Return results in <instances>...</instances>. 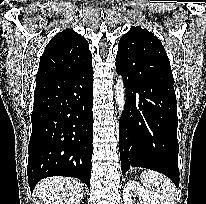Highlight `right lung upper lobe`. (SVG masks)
I'll list each match as a JSON object with an SVG mask.
<instances>
[{"label": "right lung upper lobe", "mask_w": 206, "mask_h": 204, "mask_svg": "<svg viewBox=\"0 0 206 204\" xmlns=\"http://www.w3.org/2000/svg\"><path fill=\"white\" fill-rule=\"evenodd\" d=\"M92 60L88 42L72 29L58 33L40 59L36 83L72 73Z\"/></svg>", "instance_id": "right-lung-upper-lobe-1"}]
</instances>
